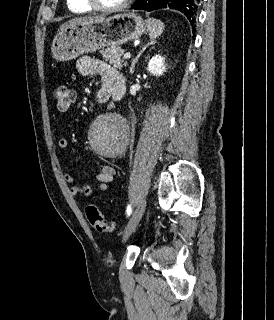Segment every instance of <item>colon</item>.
Wrapping results in <instances>:
<instances>
[{"mask_svg": "<svg viewBox=\"0 0 274 320\" xmlns=\"http://www.w3.org/2000/svg\"><path fill=\"white\" fill-rule=\"evenodd\" d=\"M56 108L60 112H65L73 103V92L66 85H57L52 91ZM86 215L89 223L100 233H111L114 228L113 222H108L98 206L91 204L86 207Z\"/></svg>", "mask_w": 274, "mask_h": 320, "instance_id": "obj_1", "label": "colon"}]
</instances>
